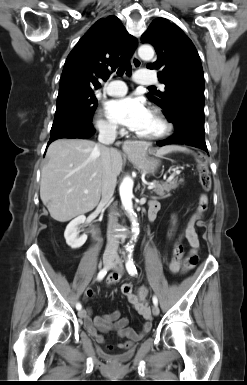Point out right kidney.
<instances>
[{
  "label": "right kidney",
  "mask_w": 247,
  "mask_h": 385,
  "mask_svg": "<svg viewBox=\"0 0 247 385\" xmlns=\"http://www.w3.org/2000/svg\"><path fill=\"white\" fill-rule=\"evenodd\" d=\"M86 221V217L84 215H80L73 219L66 227L64 232V237L68 246L72 249L80 248L87 240V235H82L81 237H77L78 235V226L83 224Z\"/></svg>",
  "instance_id": "ca27d5eb"
}]
</instances>
